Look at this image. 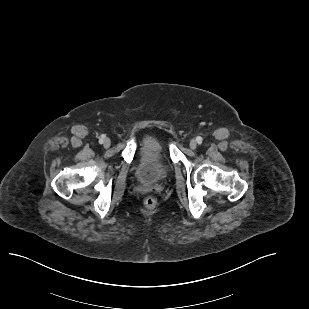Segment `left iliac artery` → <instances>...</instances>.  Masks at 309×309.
Here are the masks:
<instances>
[{"label":"left iliac artery","mask_w":309,"mask_h":309,"mask_svg":"<svg viewBox=\"0 0 309 309\" xmlns=\"http://www.w3.org/2000/svg\"><path fill=\"white\" fill-rule=\"evenodd\" d=\"M202 137H200V136H198L197 138H196V141L200 144V143H202Z\"/></svg>","instance_id":"1"}]
</instances>
